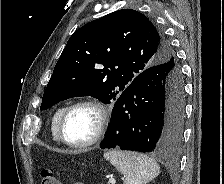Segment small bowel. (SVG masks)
I'll list each match as a JSON object with an SVG mask.
<instances>
[{
  "mask_svg": "<svg viewBox=\"0 0 224 184\" xmlns=\"http://www.w3.org/2000/svg\"><path fill=\"white\" fill-rule=\"evenodd\" d=\"M73 184H83V183H79V182H77V183H73Z\"/></svg>",
  "mask_w": 224,
  "mask_h": 184,
  "instance_id": "1",
  "label": "small bowel"
}]
</instances>
